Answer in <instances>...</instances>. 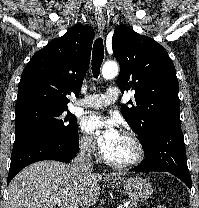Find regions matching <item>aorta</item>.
I'll return each mask as SVG.
<instances>
[{"mask_svg": "<svg viewBox=\"0 0 199 208\" xmlns=\"http://www.w3.org/2000/svg\"><path fill=\"white\" fill-rule=\"evenodd\" d=\"M118 74V65L116 62H106L102 67V76L104 79H112Z\"/></svg>", "mask_w": 199, "mask_h": 208, "instance_id": "aorta-1", "label": "aorta"}]
</instances>
